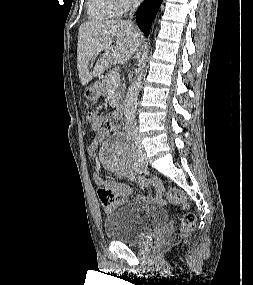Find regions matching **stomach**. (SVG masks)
I'll return each instance as SVG.
<instances>
[{
	"label": "stomach",
	"mask_w": 253,
	"mask_h": 285,
	"mask_svg": "<svg viewBox=\"0 0 253 285\" xmlns=\"http://www.w3.org/2000/svg\"><path fill=\"white\" fill-rule=\"evenodd\" d=\"M102 95V87L101 84L96 82L93 85L86 88L84 92V96L88 100H96Z\"/></svg>",
	"instance_id": "stomach-1"
}]
</instances>
